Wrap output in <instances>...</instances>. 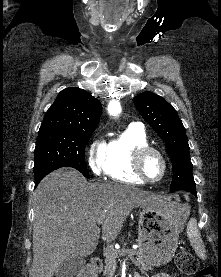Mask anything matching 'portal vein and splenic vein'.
I'll return each mask as SVG.
<instances>
[{
	"label": "portal vein and splenic vein",
	"mask_w": 221,
	"mask_h": 277,
	"mask_svg": "<svg viewBox=\"0 0 221 277\" xmlns=\"http://www.w3.org/2000/svg\"><path fill=\"white\" fill-rule=\"evenodd\" d=\"M104 216H101V217H99L98 219H97V224H102V222L104 221Z\"/></svg>",
	"instance_id": "1"
}]
</instances>
